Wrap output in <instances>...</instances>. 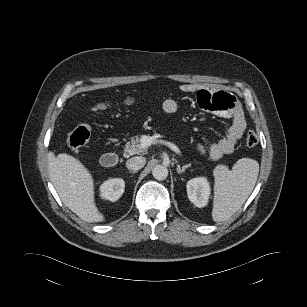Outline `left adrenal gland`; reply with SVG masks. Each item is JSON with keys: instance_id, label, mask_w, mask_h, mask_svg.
<instances>
[{"instance_id": "obj_1", "label": "left adrenal gland", "mask_w": 307, "mask_h": 307, "mask_svg": "<svg viewBox=\"0 0 307 307\" xmlns=\"http://www.w3.org/2000/svg\"><path fill=\"white\" fill-rule=\"evenodd\" d=\"M191 166V164L189 163V164H186V165H184V166H182V167H180V166H178L177 167V173L178 174H181V173H183V172H185V170L187 169V168H189Z\"/></svg>"}]
</instances>
